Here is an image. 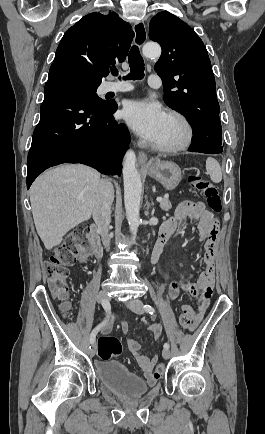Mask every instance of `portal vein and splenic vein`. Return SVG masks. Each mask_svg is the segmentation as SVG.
<instances>
[{
    "label": "portal vein and splenic vein",
    "mask_w": 265,
    "mask_h": 434,
    "mask_svg": "<svg viewBox=\"0 0 265 434\" xmlns=\"http://www.w3.org/2000/svg\"><path fill=\"white\" fill-rule=\"evenodd\" d=\"M76 200H83V198H76ZM157 202H162V198H157Z\"/></svg>",
    "instance_id": "18ae733b"
}]
</instances>
